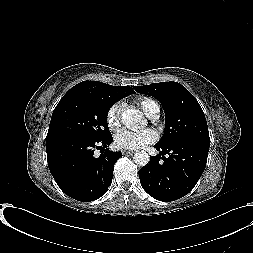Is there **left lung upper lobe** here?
I'll list each match as a JSON object with an SVG mask.
<instances>
[{"label": "left lung upper lobe", "instance_id": "left-lung-upper-lobe-1", "mask_svg": "<svg viewBox=\"0 0 253 253\" xmlns=\"http://www.w3.org/2000/svg\"><path fill=\"white\" fill-rule=\"evenodd\" d=\"M134 89L156 98L163 106L165 131L157 145L166 146L189 138L210 142L204 112L184 86L177 82H160L135 86Z\"/></svg>", "mask_w": 253, "mask_h": 253}]
</instances>
